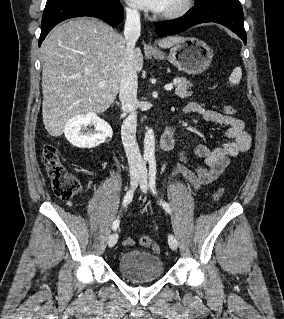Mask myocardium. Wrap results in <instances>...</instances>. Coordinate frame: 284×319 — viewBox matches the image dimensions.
Here are the masks:
<instances>
[{
	"label": "myocardium",
	"instance_id": "f54148a6",
	"mask_svg": "<svg viewBox=\"0 0 284 319\" xmlns=\"http://www.w3.org/2000/svg\"><path fill=\"white\" fill-rule=\"evenodd\" d=\"M194 0H182L178 7L163 13H158L157 17L164 20L178 19L186 15L192 8Z\"/></svg>",
	"mask_w": 284,
	"mask_h": 319
}]
</instances>
